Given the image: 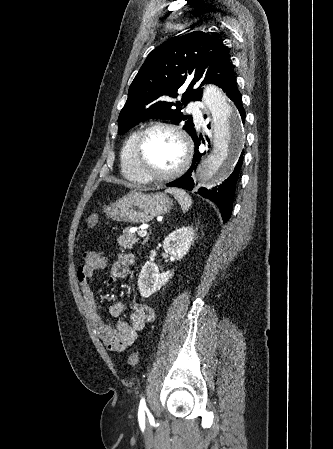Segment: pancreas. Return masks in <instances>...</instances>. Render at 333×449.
<instances>
[{"label": "pancreas", "instance_id": "pancreas-1", "mask_svg": "<svg viewBox=\"0 0 333 449\" xmlns=\"http://www.w3.org/2000/svg\"><path fill=\"white\" fill-rule=\"evenodd\" d=\"M119 245L125 249H131L134 244L138 242V238L134 233H131L129 228L123 230V235L117 239Z\"/></svg>", "mask_w": 333, "mask_h": 449}]
</instances>
